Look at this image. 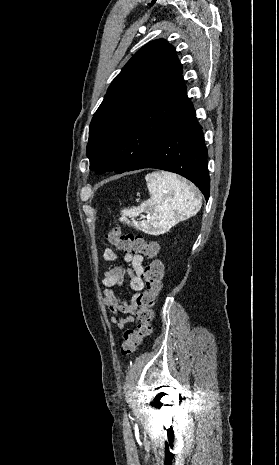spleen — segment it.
Returning a JSON list of instances; mask_svg holds the SVG:
<instances>
[{
    "mask_svg": "<svg viewBox=\"0 0 279 465\" xmlns=\"http://www.w3.org/2000/svg\"><path fill=\"white\" fill-rule=\"evenodd\" d=\"M150 199L138 207L124 208L120 221L129 224L128 217L139 230L148 233L168 231L178 222L195 216L201 206L202 197L192 184L169 172H152L146 175ZM145 212L150 220L135 221L134 218Z\"/></svg>",
    "mask_w": 279,
    "mask_h": 465,
    "instance_id": "obj_1",
    "label": "spleen"
}]
</instances>
